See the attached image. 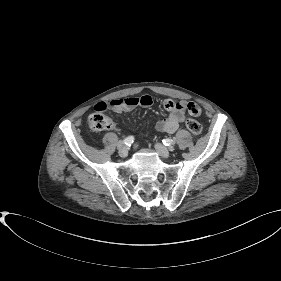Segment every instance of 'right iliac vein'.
Returning a JSON list of instances; mask_svg holds the SVG:
<instances>
[{
  "mask_svg": "<svg viewBox=\"0 0 281 281\" xmlns=\"http://www.w3.org/2000/svg\"><path fill=\"white\" fill-rule=\"evenodd\" d=\"M119 156L125 158L128 155V150L125 146H121L118 151Z\"/></svg>",
  "mask_w": 281,
  "mask_h": 281,
  "instance_id": "right-iliac-vein-1",
  "label": "right iliac vein"
}]
</instances>
